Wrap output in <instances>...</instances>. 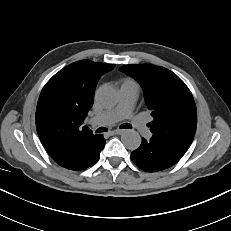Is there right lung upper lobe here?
I'll return each instance as SVG.
<instances>
[{
  "mask_svg": "<svg viewBox=\"0 0 231 231\" xmlns=\"http://www.w3.org/2000/svg\"><path fill=\"white\" fill-rule=\"evenodd\" d=\"M114 64L90 60L74 62L56 73L44 86L36 108V128L50 156L66 145L92 136L82 121L93 104L100 77Z\"/></svg>",
  "mask_w": 231,
  "mask_h": 231,
  "instance_id": "right-lung-upper-lobe-1",
  "label": "right lung upper lobe"
}]
</instances>
